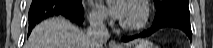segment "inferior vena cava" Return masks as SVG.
I'll list each match as a JSON object with an SVG mask.
<instances>
[{"label": "inferior vena cava", "instance_id": "inferior-vena-cava-1", "mask_svg": "<svg viewBox=\"0 0 213 48\" xmlns=\"http://www.w3.org/2000/svg\"><path fill=\"white\" fill-rule=\"evenodd\" d=\"M104 19L105 16L101 12H95L89 18L90 26L87 29L86 40L90 48H102L109 38Z\"/></svg>", "mask_w": 213, "mask_h": 48}]
</instances>
